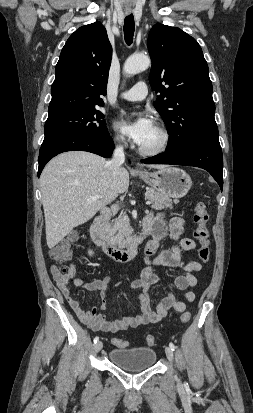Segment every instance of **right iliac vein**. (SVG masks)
Wrapping results in <instances>:
<instances>
[{
    "label": "right iliac vein",
    "mask_w": 253,
    "mask_h": 413,
    "mask_svg": "<svg viewBox=\"0 0 253 413\" xmlns=\"http://www.w3.org/2000/svg\"><path fill=\"white\" fill-rule=\"evenodd\" d=\"M102 347H103L102 342H101V341H98V342L94 345V351H95L96 353H98V352L102 349Z\"/></svg>",
    "instance_id": "1"
}]
</instances>
